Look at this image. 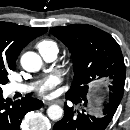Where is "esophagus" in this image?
I'll return each mask as SVG.
<instances>
[{
    "label": "esophagus",
    "mask_w": 130,
    "mask_h": 130,
    "mask_svg": "<svg viewBox=\"0 0 130 130\" xmlns=\"http://www.w3.org/2000/svg\"><path fill=\"white\" fill-rule=\"evenodd\" d=\"M61 103H62L61 100H54V101H46V102H45L46 105L61 104Z\"/></svg>",
    "instance_id": "34e87169"
}]
</instances>
